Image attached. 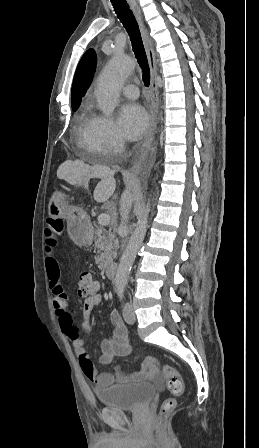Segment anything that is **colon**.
I'll list each match as a JSON object with an SVG mask.
<instances>
[{"label":"colon","mask_w":259,"mask_h":448,"mask_svg":"<svg viewBox=\"0 0 259 448\" xmlns=\"http://www.w3.org/2000/svg\"><path fill=\"white\" fill-rule=\"evenodd\" d=\"M77 287L78 294L81 297L93 296L97 294L99 290L98 282L89 273H81L78 276ZM161 369L172 397L167 398L161 406L158 420L160 427L175 408L177 403L176 397L182 395L184 391L183 379L174 367L168 364H162Z\"/></svg>","instance_id":"1"}]
</instances>
